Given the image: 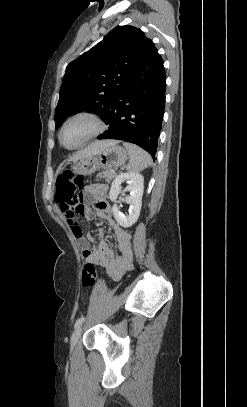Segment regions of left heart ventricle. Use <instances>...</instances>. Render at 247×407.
<instances>
[{"instance_id":"1","label":"left heart ventricle","mask_w":247,"mask_h":407,"mask_svg":"<svg viewBox=\"0 0 247 407\" xmlns=\"http://www.w3.org/2000/svg\"><path fill=\"white\" fill-rule=\"evenodd\" d=\"M94 130V124L87 118H77L71 121L64 129L62 142L72 147L79 144Z\"/></svg>"}]
</instances>
